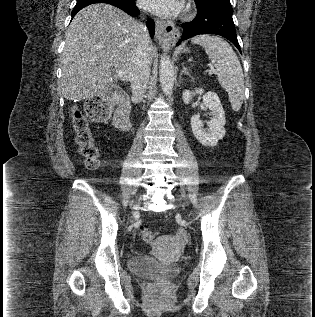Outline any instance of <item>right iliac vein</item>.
Returning a JSON list of instances; mask_svg holds the SVG:
<instances>
[{
  "instance_id": "right-iliac-vein-1",
  "label": "right iliac vein",
  "mask_w": 315,
  "mask_h": 317,
  "mask_svg": "<svg viewBox=\"0 0 315 317\" xmlns=\"http://www.w3.org/2000/svg\"><path fill=\"white\" fill-rule=\"evenodd\" d=\"M139 206V205H138ZM139 207L135 208V211L133 212V215H135L138 211Z\"/></svg>"
}]
</instances>
